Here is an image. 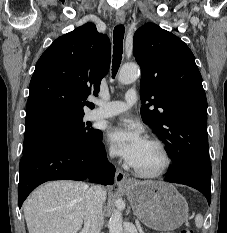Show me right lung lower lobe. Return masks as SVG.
<instances>
[{
	"mask_svg": "<svg viewBox=\"0 0 227 233\" xmlns=\"http://www.w3.org/2000/svg\"><path fill=\"white\" fill-rule=\"evenodd\" d=\"M102 133L85 145H50L23 154L19 164L18 201L50 180H85L103 185L114 182L115 168L108 162Z\"/></svg>",
	"mask_w": 227,
	"mask_h": 233,
	"instance_id": "1",
	"label": "right lung lower lobe"
}]
</instances>
